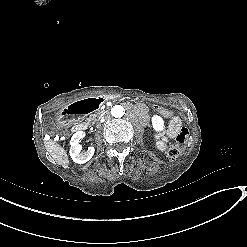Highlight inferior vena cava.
<instances>
[{"mask_svg":"<svg viewBox=\"0 0 247 247\" xmlns=\"http://www.w3.org/2000/svg\"><path fill=\"white\" fill-rule=\"evenodd\" d=\"M105 114H102L101 116H100V118L99 119H101V118H103V116H104Z\"/></svg>","mask_w":247,"mask_h":247,"instance_id":"602c4592","label":"inferior vena cava"}]
</instances>
